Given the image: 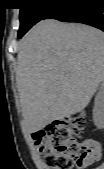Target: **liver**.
I'll use <instances>...</instances> for the list:
<instances>
[{"label":"liver","instance_id":"1","mask_svg":"<svg viewBox=\"0 0 104 169\" xmlns=\"http://www.w3.org/2000/svg\"><path fill=\"white\" fill-rule=\"evenodd\" d=\"M104 78V34L48 19L20 41L16 82L30 134L84 110Z\"/></svg>","mask_w":104,"mask_h":169}]
</instances>
